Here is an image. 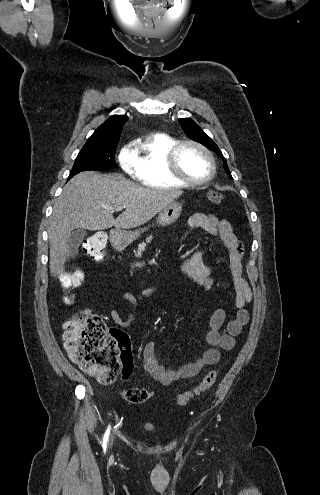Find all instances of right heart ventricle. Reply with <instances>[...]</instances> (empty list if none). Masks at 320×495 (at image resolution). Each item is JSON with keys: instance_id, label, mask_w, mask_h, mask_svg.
I'll return each mask as SVG.
<instances>
[{"instance_id": "e07e8e85", "label": "right heart ventricle", "mask_w": 320, "mask_h": 495, "mask_svg": "<svg viewBox=\"0 0 320 495\" xmlns=\"http://www.w3.org/2000/svg\"><path fill=\"white\" fill-rule=\"evenodd\" d=\"M177 141L166 134L147 136L136 152V178L144 186L157 189L182 188L186 185L174 178L167 168V153Z\"/></svg>"}]
</instances>
